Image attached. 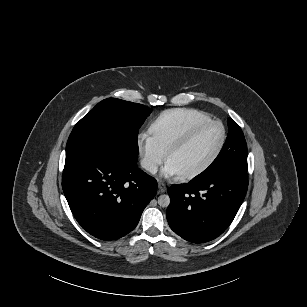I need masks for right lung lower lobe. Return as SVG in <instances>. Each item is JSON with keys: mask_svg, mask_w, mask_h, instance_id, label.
<instances>
[{"mask_svg": "<svg viewBox=\"0 0 307 307\" xmlns=\"http://www.w3.org/2000/svg\"><path fill=\"white\" fill-rule=\"evenodd\" d=\"M62 188L78 223L91 235L115 240L132 231L157 191V182L110 148L66 155Z\"/></svg>", "mask_w": 307, "mask_h": 307, "instance_id": "1", "label": "right lung lower lobe"}]
</instances>
